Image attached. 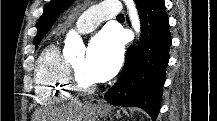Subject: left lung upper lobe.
<instances>
[{
  "mask_svg": "<svg viewBox=\"0 0 217 121\" xmlns=\"http://www.w3.org/2000/svg\"><path fill=\"white\" fill-rule=\"evenodd\" d=\"M72 2L73 0H51L49 2L37 24L38 32L35 38L36 48L59 14L70 6Z\"/></svg>",
  "mask_w": 217,
  "mask_h": 121,
  "instance_id": "5c2ea615",
  "label": "left lung upper lobe"
}]
</instances>
